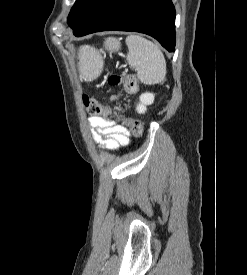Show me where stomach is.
<instances>
[{"label":"stomach","instance_id":"0dacf381","mask_svg":"<svg viewBox=\"0 0 247 275\" xmlns=\"http://www.w3.org/2000/svg\"><path fill=\"white\" fill-rule=\"evenodd\" d=\"M110 50H118L120 43L110 38ZM103 58L101 52L92 47H83L79 54V72L81 78L91 80L98 77L102 71Z\"/></svg>","mask_w":247,"mask_h":275}]
</instances>
